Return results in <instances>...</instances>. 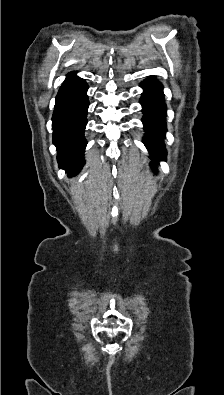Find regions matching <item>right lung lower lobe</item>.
Here are the masks:
<instances>
[{
	"label": "right lung lower lobe",
	"instance_id": "1",
	"mask_svg": "<svg viewBox=\"0 0 224 395\" xmlns=\"http://www.w3.org/2000/svg\"><path fill=\"white\" fill-rule=\"evenodd\" d=\"M68 74L57 96L52 117L53 142L58 150L60 168L74 176L84 164L83 153L86 147L84 129L87 123L88 97L86 82Z\"/></svg>",
	"mask_w": 224,
	"mask_h": 395
}]
</instances>
